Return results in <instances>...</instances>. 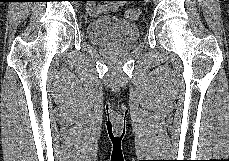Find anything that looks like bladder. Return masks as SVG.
Here are the masks:
<instances>
[{"mask_svg":"<svg viewBox=\"0 0 229 161\" xmlns=\"http://www.w3.org/2000/svg\"><path fill=\"white\" fill-rule=\"evenodd\" d=\"M90 40L99 46H128L135 43L140 35L138 26L117 16H103L87 24Z\"/></svg>","mask_w":229,"mask_h":161,"instance_id":"obj_1","label":"bladder"}]
</instances>
